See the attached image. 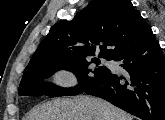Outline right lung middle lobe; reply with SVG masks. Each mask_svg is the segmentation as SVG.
I'll list each match as a JSON object with an SVG mask.
<instances>
[{
    "instance_id": "1",
    "label": "right lung middle lobe",
    "mask_w": 165,
    "mask_h": 120,
    "mask_svg": "<svg viewBox=\"0 0 165 120\" xmlns=\"http://www.w3.org/2000/svg\"><path fill=\"white\" fill-rule=\"evenodd\" d=\"M91 63L100 64L98 58L47 60L28 65L18 88L19 95L50 97L73 96L83 93L89 86L106 77L110 70L106 67L92 68ZM65 69L76 74L79 84L73 88H62L43 80L54 72Z\"/></svg>"
}]
</instances>
